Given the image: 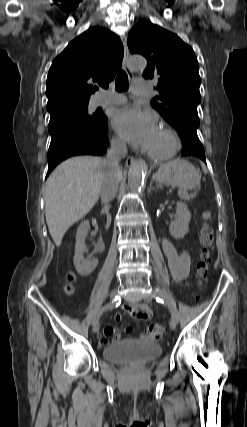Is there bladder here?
Instances as JSON below:
<instances>
[{
  "mask_svg": "<svg viewBox=\"0 0 247 427\" xmlns=\"http://www.w3.org/2000/svg\"><path fill=\"white\" fill-rule=\"evenodd\" d=\"M162 353L160 345L153 342L125 340L106 346L103 356L106 360L116 363H145L159 357Z\"/></svg>",
  "mask_w": 247,
  "mask_h": 427,
  "instance_id": "31cf9c89",
  "label": "bladder"
}]
</instances>
